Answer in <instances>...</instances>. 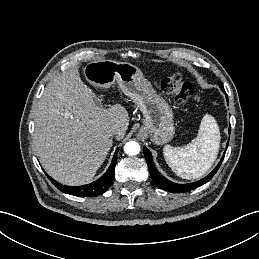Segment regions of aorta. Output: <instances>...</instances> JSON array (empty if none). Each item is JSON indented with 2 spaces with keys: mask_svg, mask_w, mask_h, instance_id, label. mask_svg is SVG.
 Returning a JSON list of instances; mask_svg holds the SVG:
<instances>
[{
  "mask_svg": "<svg viewBox=\"0 0 259 259\" xmlns=\"http://www.w3.org/2000/svg\"><path fill=\"white\" fill-rule=\"evenodd\" d=\"M140 151V145L135 141H129L124 145V152L127 155H137Z\"/></svg>",
  "mask_w": 259,
  "mask_h": 259,
  "instance_id": "762f6f07",
  "label": "aorta"
}]
</instances>
